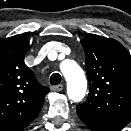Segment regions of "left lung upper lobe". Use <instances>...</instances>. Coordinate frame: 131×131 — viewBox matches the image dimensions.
<instances>
[{
	"instance_id": "left-lung-upper-lobe-1",
	"label": "left lung upper lobe",
	"mask_w": 131,
	"mask_h": 131,
	"mask_svg": "<svg viewBox=\"0 0 131 131\" xmlns=\"http://www.w3.org/2000/svg\"><path fill=\"white\" fill-rule=\"evenodd\" d=\"M81 44L90 89L77 114L92 131H120L131 121V56L111 38L91 34Z\"/></svg>"
}]
</instances>
